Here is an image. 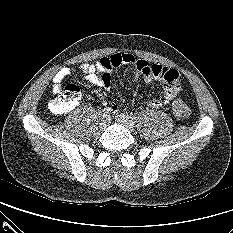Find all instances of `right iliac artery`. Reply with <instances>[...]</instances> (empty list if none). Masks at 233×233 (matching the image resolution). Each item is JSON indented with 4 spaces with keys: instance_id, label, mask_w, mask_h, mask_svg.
<instances>
[{
    "instance_id": "82829eb1",
    "label": "right iliac artery",
    "mask_w": 233,
    "mask_h": 233,
    "mask_svg": "<svg viewBox=\"0 0 233 233\" xmlns=\"http://www.w3.org/2000/svg\"><path fill=\"white\" fill-rule=\"evenodd\" d=\"M111 112V108L107 107V108H104L103 110V115L105 116H108V114Z\"/></svg>"
}]
</instances>
